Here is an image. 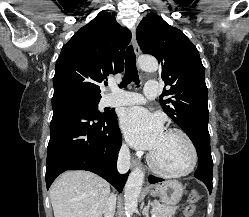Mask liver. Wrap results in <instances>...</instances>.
<instances>
[{
  "instance_id": "1",
  "label": "liver",
  "mask_w": 249,
  "mask_h": 217,
  "mask_svg": "<svg viewBox=\"0 0 249 217\" xmlns=\"http://www.w3.org/2000/svg\"><path fill=\"white\" fill-rule=\"evenodd\" d=\"M110 185L89 171L63 173L50 188L54 217H102Z\"/></svg>"
}]
</instances>
